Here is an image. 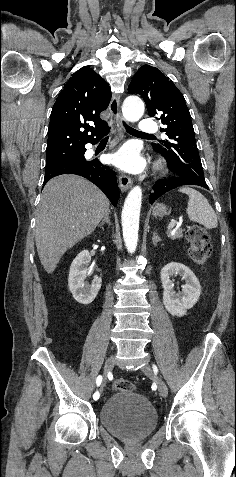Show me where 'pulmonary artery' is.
I'll return each mask as SVG.
<instances>
[{"mask_svg":"<svg viewBox=\"0 0 236 477\" xmlns=\"http://www.w3.org/2000/svg\"><path fill=\"white\" fill-rule=\"evenodd\" d=\"M138 131L146 134H152L158 131V126L154 121L144 119L140 122Z\"/></svg>","mask_w":236,"mask_h":477,"instance_id":"1","label":"pulmonary artery"}]
</instances>
